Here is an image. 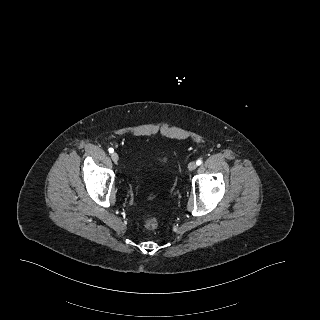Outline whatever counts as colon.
Instances as JSON below:
<instances>
[{
	"label": "colon",
	"mask_w": 320,
	"mask_h": 320,
	"mask_svg": "<svg viewBox=\"0 0 320 320\" xmlns=\"http://www.w3.org/2000/svg\"><path fill=\"white\" fill-rule=\"evenodd\" d=\"M163 160H165V159H163ZM155 197H156L155 193H150L148 196V198L150 200H153ZM143 224H144L145 228L152 230V229H155L158 227V219L156 216L150 215L144 219Z\"/></svg>",
	"instance_id": "obj_1"
}]
</instances>
